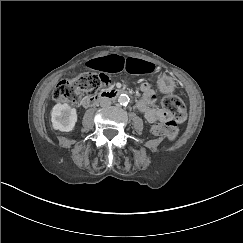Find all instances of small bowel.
Returning <instances> with one entry per match:
<instances>
[{
	"instance_id": "small-bowel-1",
	"label": "small bowel",
	"mask_w": 243,
	"mask_h": 243,
	"mask_svg": "<svg viewBox=\"0 0 243 243\" xmlns=\"http://www.w3.org/2000/svg\"><path fill=\"white\" fill-rule=\"evenodd\" d=\"M84 68L109 73L125 71L132 74H143L152 73L155 66L148 61L138 58L109 55L86 62ZM141 92L142 99L138 102L137 107L144 114L146 120L154 123L167 119V114L154 106L155 93L153 89L144 83L141 85Z\"/></svg>"
}]
</instances>
